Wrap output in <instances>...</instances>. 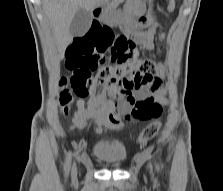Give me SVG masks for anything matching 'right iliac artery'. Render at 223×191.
<instances>
[{
  "label": "right iliac artery",
  "mask_w": 223,
  "mask_h": 191,
  "mask_svg": "<svg viewBox=\"0 0 223 191\" xmlns=\"http://www.w3.org/2000/svg\"><path fill=\"white\" fill-rule=\"evenodd\" d=\"M70 164H71V153L69 152L67 154V158H66L65 165H64L65 174H68L69 169H70Z\"/></svg>",
  "instance_id": "right-iliac-artery-1"
}]
</instances>
